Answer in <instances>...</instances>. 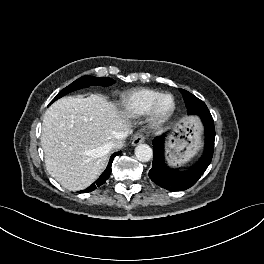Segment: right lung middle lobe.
I'll return each instance as SVG.
<instances>
[{
    "mask_svg": "<svg viewBox=\"0 0 264 264\" xmlns=\"http://www.w3.org/2000/svg\"><path fill=\"white\" fill-rule=\"evenodd\" d=\"M115 81L111 78H107V77H93V76H83L79 79H77L76 81H74L73 83H71L69 86H67L66 88H64L61 92L58 93V95L52 100V102H54L55 100H57L58 98L63 97L64 95L81 89V88H85L91 85H96V86H110L114 83ZM51 102V103H52Z\"/></svg>",
    "mask_w": 264,
    "mask_h": 264,
    "instance_id": "right-lung-middle-lobe-1",
    "label": "right lung middle lobe"
}]
</instances>
